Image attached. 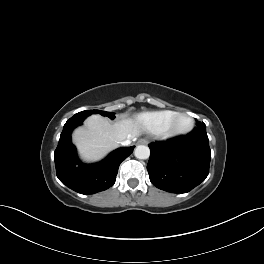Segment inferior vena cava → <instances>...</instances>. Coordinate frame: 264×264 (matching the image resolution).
Segmentation results:
<instances>
[{"label": "inferior vena cava", "instance_id": "obj_1", "mask_svg": "<svg viewBox=\"0 0 264 264\" xmlns=\"http://www.w3.org/2000/svg\"><path fill=\"white\" fill-rule=\"evenodd\" d=\"M120 143H121V145H123V146H128V145H130V143H131V139H130V138H127V139L121 141Z\"/></svg>", "mask_w": 264, "mask_h": 264}]
</instances>
